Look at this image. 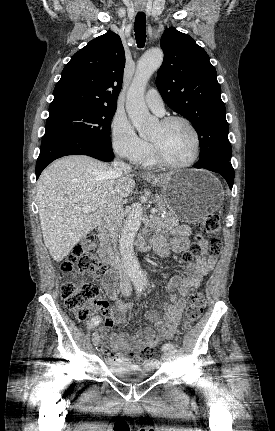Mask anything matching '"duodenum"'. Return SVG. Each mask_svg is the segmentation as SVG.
Listing matches in <instances>:
<instances>
[{"mask_svg": "<svg viewBox=\"0 0 275 431\" xmlns=\"http://www.w3.org/2000/svg\"><path fill=\"white\" fill-rule=\"evenodd\" d=\"M97 234L99 237V256L105 263H112L115 259L114 249L106 236V225L101 223L97 228ZM154 244L153 239L146 236L139 243V249L141 251L149 250Z\"/></svg>", "mask_w": 275, "mask_h": 431, "instance_id": "410a0bca", "label": "duodenum"}]
</instances>
